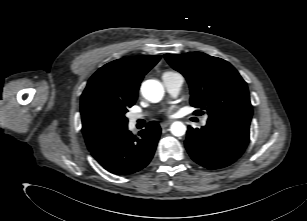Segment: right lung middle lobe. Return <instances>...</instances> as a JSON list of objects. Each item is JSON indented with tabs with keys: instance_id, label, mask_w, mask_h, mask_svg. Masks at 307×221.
<instances>
[{
	"instance_id": "dd1d6c3e",
	"label": "right lung middle lobe",
	"mask_w": 307,
	"mask_h": 221,
	"mask_svg": "<svg viewBox=\"0 0 307 221\" xmlns=\"http://www.w3.org/2000/svg\"><path fill=\"white\" fill-rule=\"evenodd\" d=\"M132 105L103 98L94 100L91 104V128L101 138L126 128L128 119L125 114Z\"/></svg>"
}]
</instances>
